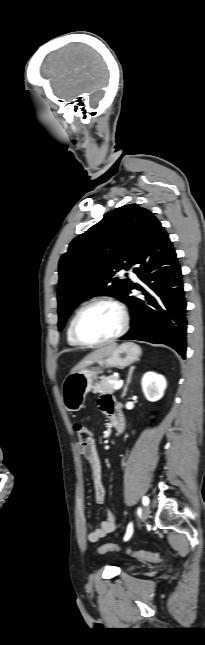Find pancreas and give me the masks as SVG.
Segmentation results:
<instances>
[{
    "label": "pancreas",
    "mask_w": 205,
    "mask_h": 645,
    "mask_svg": "<svg viewBox=\"0 0 205 645\" xmlns=\"http://www.w3.org/2000/svg\"><path fill=\"white\" fill-rule=\"evenodd\" d=\"M119 377L116 376H108L103 378L101 381L96 383L93 386V393H100V394H111L115 391V383H112L111 381H118Z\"/></svg>",
    "instance_id": "cf45deb5"
}]
</instances>
